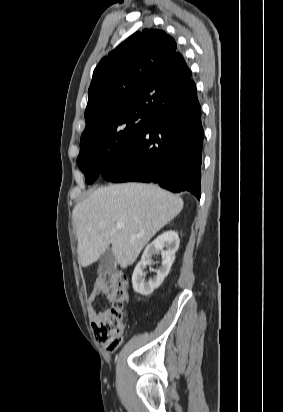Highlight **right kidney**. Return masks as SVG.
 Here are the masks:
<instances>
[{"instance_id":"right-kidney-1","label":"right kidney","mask_w":283,"mask_h":412,"mask_svg":"<svg viewBox=\"0 0 283 412\" xmlns=\"http://www.w3.org/2000/svg\"><path fill=\"white\" fill-rule=\"evenodd\" d=\"M179 243L180 240L177 232L166 231L145 248L142 258L136 265L132 275V285L136 293L148 296L162 284L175 260V253L179 248ZM159 253L162 257L161 266L158 270H155L156 275L146 281L145 269L148 265L153 264L152 257ZM151 270L154 271L153 269Z\"/></svg>"}]
</instances>
